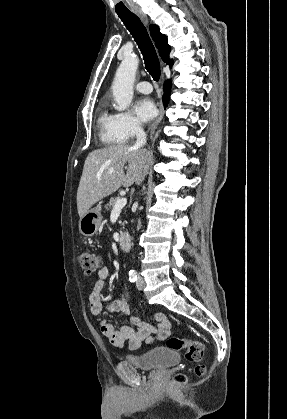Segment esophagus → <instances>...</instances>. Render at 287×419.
I'll list each match as a JSON object with an SVG mask.
<instances>
[{"label": "esophagus", "mask_w": 287, "mask_h": 419, "mask_svg": "<svg viewBox=\"0 0 287 419\" xmlns=\"http://www.w3.org/2000/svg\"><path fill=\"white\" fill-rule=\"evenodd\" d=\"M135 14L145 23L148 24V18L146 16V14L142 11H136ZM164 114V108L162 103H159V114L158 117L156 118V120L153 122L152 127H151V134L154 132L155 128L157 127V125L159 124L160 120L162 119Z\"/></svg>", "instance_id": "esophagus-1"}]
</instances>
